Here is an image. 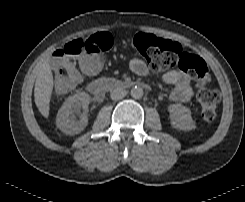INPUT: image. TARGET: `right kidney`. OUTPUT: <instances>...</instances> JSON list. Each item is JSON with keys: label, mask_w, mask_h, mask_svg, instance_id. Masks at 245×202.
Returning a JSON list of instances; mask_svg holds the SVG:
<instances>
[{"label": "right kidney", "mask_w": 245, "mask_h": 202, "mask_svg": "<svg viewBox=\"0 0 245 202\" xmlns=\"http://www.w3.org/2000/svg\"><path fill=\"white\" fill-rule=\"evenodd\" d=\"M89 102L90 96L85 92L68 97L57 113V127L67 135H75L83 131L88 125L87 108ZM81 109H83L82 113ZM75 114L80 115V118L77 119Z\"/></svg>", "instance_id": "1"}]
</instances>
